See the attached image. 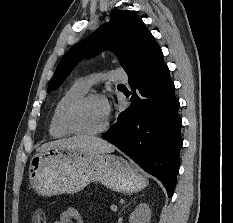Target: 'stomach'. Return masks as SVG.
Here are the masks:
<instances>
[{
	"label": "stomach",
	"instance_id": "obj_1",
	"mask_svg": "<svg viewBox=\"0 0 233 223\" xmlns=\"http://www.w3.org/2000/svg\"><path fill=\"white\" fill-rule=\"evenodd\" d=\"M29 181L38 195L78 193L91 181L112 191L136 193L148 185L133 163L112 153H84L60 145L39 147L31 157Z\"/></svg>",
	"mask_w": 233,
	"mask_h": 223
}]
</instances>
